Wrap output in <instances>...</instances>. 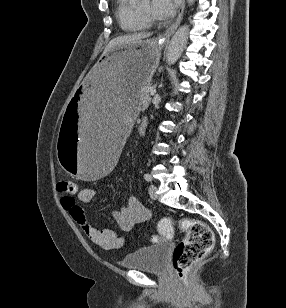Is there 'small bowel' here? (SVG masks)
Returning <instances> with one entry per match:
<instances>
[{"label":"small bowel","mask_w":286,"mask_h":308,"mask_svg":"<svg viewBox=\"0 0 286 308\" xmlns=\"http://www.w3.org/2000/svg\"><path fill=\"white\" fill-rule=\"evenodd\" d=\"M95 194L92 188H82L77 192L76 199L63 197L61 203L92 243L104 250L120 248L125 243L124 238L115 230L95 228L88 221L83 209L77 205V202H91ZM149 217V210L136 197H130L125 206L112 213L115 224L123 231H130L136 224L147 221Z\"/></svg>","instance_id":"small-bowel-1"}]
</instances>
